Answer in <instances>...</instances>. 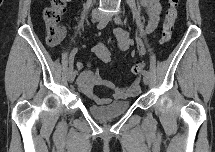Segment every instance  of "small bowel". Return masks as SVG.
<instances>
[{"instance_id":"1","label":"small bowel","mask_w":215,"mask_h":152,"mask_svg":"<svg viewBox=\"0 0 215 152\" xmlns=\"http://www.w3.org/2000/svg\"><path fill=\"white\" fill-rule=\"evenodd\" d=\"M140 5L143 6L147 14V25L145 32L152 34L158 26L159 16L161 12V4L158 0H140ZM114 36L117 42V47L121 51L128 50L133 45V40L129 33L121 28L114 30ZM92 54L101 62L107 64L112 60V53L107 48L104 42L98 41L91 47ZM92 63L89 61L86 65L77 62L78 70V86L79 88L94 102L98 104H107L114 100H121L129 96L137 95L141 90L139 81H135L131 87L116 88L110 81L104 79L98 70L92 69ZM98 86L105 87L112 91L111 97H100L95 92Z\"/></svg>"}]
</instances>
